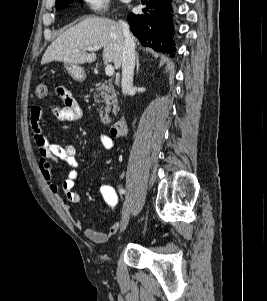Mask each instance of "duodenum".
Masks as SVG:
<instances>
[{
  "label": "duodenum",
  "mask_w": 267,
  "mask_h": 301,
  "mask_svg": "<svg viewBox=\"0 0 267 301\" xmlns=\"http://www.w3.org/2000/svg\"><path fill=\"white\" fill-rule=\"evenodd\" d=\"M126 130V120L120 117L111 127L110 132L114 137L122 135Z\"/></svg>",
  "instance_id": "duodenum-1"
}]
</instances>
